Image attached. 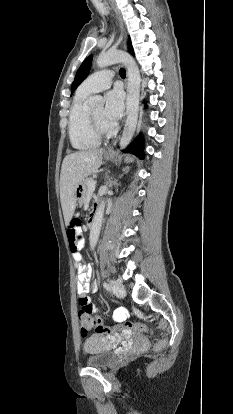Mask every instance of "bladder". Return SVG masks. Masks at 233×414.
Returning <instances> with one entry per match:
<instances>
[{"instance_id":"31cf9c89","label":"bladder","mask_w":233,"mask_h":414,"mask_svg":"<svg viewBox=\"0 0 233 414\" xmlns=\"http://www.w3.org/2000/svg\"><path fill=\"white\" fill-rule=\"evenodd\" d=\"M85 349L90 354L86 365L93 368H106L114 361V354L109 349L108 341L98 335L91 336L85 343Z\"/></svg>"}]
</instances>
